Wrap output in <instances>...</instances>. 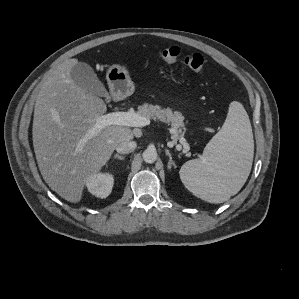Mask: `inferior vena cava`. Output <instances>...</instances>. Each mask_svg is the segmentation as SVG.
<instances>
[{
    "instance_id": "1",
    "label": "inferior vena cava",
    "mask_w": 299,
    "mask_h": 299,
    "mask_svg": "<svg viewBox=\"0 0 299 299\" xmlns=\"http://www.w3.org/2000/svg\"><path fill=\"white\" fill-rule=\"evenodd\" d=\"M137 144L135 141L124 140L116 146V151L120 154H128L135 150Z\"/></svg>"
}]
</instances>
